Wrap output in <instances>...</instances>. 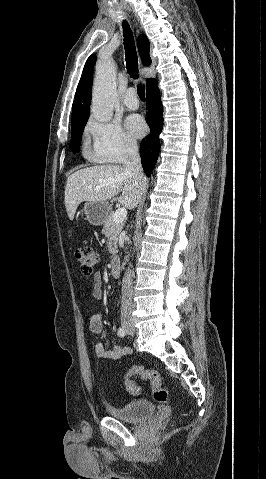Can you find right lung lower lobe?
Instances as JSON below:
<instances>
[{
    "label": "right lung lower lobe",
    "instance_id": "obj_1",
    "mask_svg": "<svg viewBox=\"0 0 266 479\" xmlns=\"http://www.w3.org/2000/svg\"><path fill=\"white\" fill-rule=\"evenodd\" d=\"M146 121L150 127V134L141 142V162L145 174L149 177L156 164L159 151V135L163 127V110L157 81L147 87Z\"/></svg>",
    "mask_w": 266,
    "mask_h": 479
}]
</instances>
